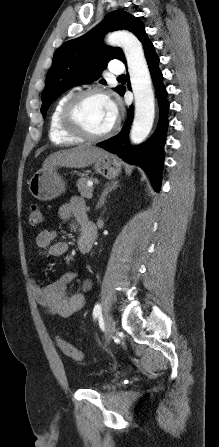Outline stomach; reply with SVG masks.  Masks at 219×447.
Segmentation results:
<instances>
[{
    "label": "stomach",
    "mask_w": 219,
    "mask_h": 447,
    "mask_svg": "<svg viewBox=\"0 0 219 447\" xmlns=\"http://www.w3.org/2000/svg\"><path fill=\"white\" fill-rule=\"evenodd\" d=\"M93 168L107 179H115L121 172L118 159L107 152L94 161ZM28 184L32 196L42 201L57 198L66 190V182L58 173L57 167L40 169L31 177Z\"/></svg>",
    "instance_id": "obj_1"
}]
</instances>
